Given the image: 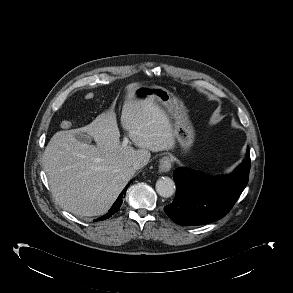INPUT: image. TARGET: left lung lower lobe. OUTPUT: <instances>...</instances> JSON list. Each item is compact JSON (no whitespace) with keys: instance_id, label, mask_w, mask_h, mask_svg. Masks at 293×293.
Returning a JSON list of instances; mask_svg holds the SVG:
<instances>
[{"instance_id":"left-lung-lower-lobe-1","label":"left lung lower lobe","mask_w":293,"mask_h":293,"mask_svg":"<svg viewBox=\"0 0 293 293\" xmlns=\"http://www.w3.org/2000/svg\"><path fill=\"white\" fill-rule=\"evenodd\" d=\"M246 158L226 176L207 177L187 168L175 170L176 196L164 207L165 213L179 225H203L221 219L248 183L249 149Z\"/></svg>"}]
</instances>
